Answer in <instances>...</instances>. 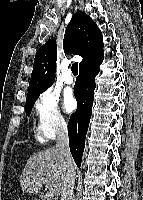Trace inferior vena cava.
Returning <instances> with one entry per match:
<instances>
[{
  "instance_id": "inferior-vena-cava-1",
  "label": "inferior vena cava",
  "mask_w": 143,
  "mask_h": 200,
  "mask_svg": "<svg viewBox=\"0 0 143 200\" xmlns=\"http://www.w3.org/2000/svg\"><path fill=\"white\" fill-rule=\"evenodd\" d=\"M57 140H56V149L65 157V166L68 169V174L65 178L62 191H61V200H74V185H75V172L72 169L73 159L71 157L70 148H69V138L67 124L64 120H61L57 126Z\"/></svg>"
}]
</instances>
